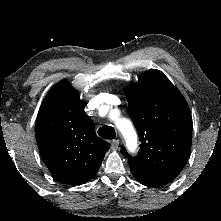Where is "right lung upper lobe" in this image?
I'll return each mask as SVG.
<instances>
[{"mask_svg":"<svg viewBox=\"0 0 221 221\" xmlns=\"http://www.w3.org/2000/svg\"><path fill=\"white\" fill-rule=\"evenodd\" d=\"M84 106L77 91L63 80L48 91L35 125L45 164L72 185L90 180L109 149V144L96 136Z\"/></svg>","mask_w":221,"mask_h":221,"instance_id":"1","label":"right lung upper lobe"}]
</instances>
